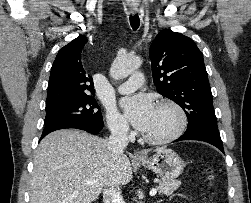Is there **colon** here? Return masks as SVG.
I'll use <instances>...</instances> for the list:
<instances>
[{"instance_id":"5ec220e1","label":"colon","mask_w":251,"mask_h":203,"mask_svg":"<svg viewBox=\"0 0 251 203\" xmlns=\"http://www.w3.org/2000/svg\"><path fill=\"white\" fill-rule=\"evenodd\" d=\"M206 174H207L208 180H209V181H212L213 178H214V175H213V170H212L210 167H208V168L206 169Z\"/></svg>"}]
</instances>
